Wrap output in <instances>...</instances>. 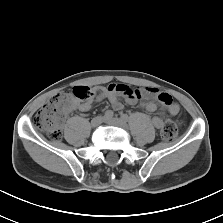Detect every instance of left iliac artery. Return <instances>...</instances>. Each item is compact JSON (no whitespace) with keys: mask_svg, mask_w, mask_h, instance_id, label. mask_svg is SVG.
Returning <instances> with one entry per match:
<instances>
[{"mask_svg":"<svg viewBox=\"0 0 223 223\" xmlns=\"http://www.w3.org/2000/svg\"><path fill=\"white\" fill-rule=\"evenodd\" d=\"M121 118H122L123 120H125L126 122L128 121V116H127V115H122Z\"/></svg>","mask_w":223,"mask_h":223,"instance_id":"1","label":"left iliac artery"}]
</instances>
